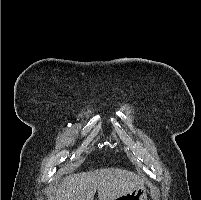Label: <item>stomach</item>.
Listing matches in <instances>:
<instances>
[{"instance_id": "stomach-1", "label": "stomach", "mask_w": 201, "mask_h": 200, "mask_svg": "<svg viewBox=\"0 0 201 200\" xmlns=\"http://www.w3.org/2000/svg\"><path fill=\"white\" fill-rule=\"evenodd\" d=\"M115 200H147V190L144 185L117 197Z\"/></svg>"}]
</instances>
